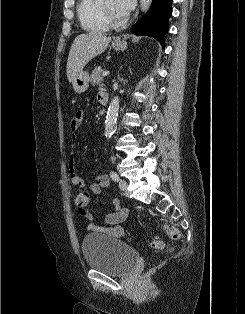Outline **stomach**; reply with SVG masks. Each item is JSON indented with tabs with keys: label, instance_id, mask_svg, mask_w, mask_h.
Masks as SVG:
<instances>
[{
	"label": "stomach",
	"instance_id": "0dacf381",
	"mask_svg": "<svg viewBox=\"0 0 245 314\" xmlns=\"http://www.w3.org/2000/svg\"><path fill=\"white\" fill-rule=\"evenodd\" d=\"M112 47L116 51H124L127 48V43L121 41L119 43H113ZM72 86L75 92L83 93L89 87V74L87 71H80L72 81Z\"/></svg>",
	"mask_w": 245,
	"mask_h": 314
}]
</instances>
